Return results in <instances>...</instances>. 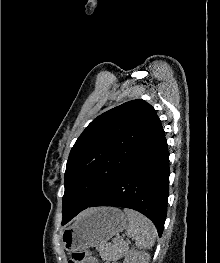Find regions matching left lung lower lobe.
<instances>
[{
  "instance_id": "left-lung-lower-lobe-1",
  "label": "left lung lower lobe",
  "mask_w": 220,
  "mask_h": 263,
  "mask_svg": "<svg viewBox=\"0 0 220 263\" xmlns=\"http://www.w3.org/2000/svg\"><path fill=\"white\" fill-rule=\"evenodd\" d=\"M169 174V152L162 128L88 207L134 209L155 224L161 237L167 213ZM79 212L64 216L62 225Z\"/></svg>"
}]
</instances>
